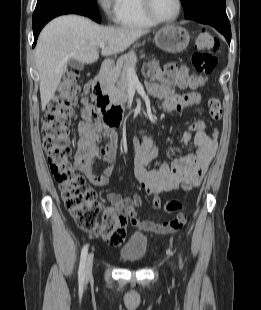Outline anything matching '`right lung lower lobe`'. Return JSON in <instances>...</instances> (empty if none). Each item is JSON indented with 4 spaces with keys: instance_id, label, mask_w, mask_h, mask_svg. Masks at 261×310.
<instances>
[{
    "instance_id": "obj_1",
    "label": "right lung lower lobe",
    "mask_w": 261,
    "mask_h": 310,
    "mask_svg": "<svg viewBox=\"0 0 261 310\" xmlns=\"http://www.w3.org/2000/svg\"><path fill=\"white\" fill-rule=\"evenodd\" d=\"M63 14H69V13H63V12H54V13H49L46 14L42 17H40L39 19H37L36 21L32 22V26H33V33H34V45L36 44L38 35L41 31V29L44 27V25L50 21L51 19H53L54 17H57L59 15H63Z\"/></svg>"
}]
</instances>
